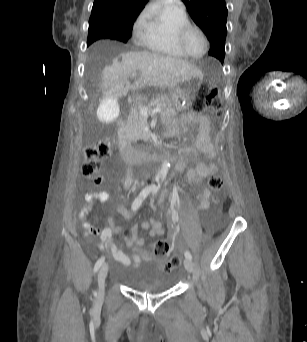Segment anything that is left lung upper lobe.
<instances>
[{
    "label": "left lung upper lobe",
    "instance_id": "5c2ea615",
    "mask_svg": "<svg viewBox=\"0 0 307 342\" xmlns=\"http://www.w3.org/2000/svg\"><path fill=\"white\" fill-rule=\"evenodd\" d=\"M210 41L209 54L224 62L227 8L224 0H182Z\"/></svg>",
    "mask_w": 307,
    "mask_h": 342
}]
</instances>
